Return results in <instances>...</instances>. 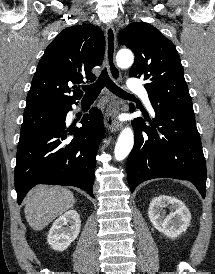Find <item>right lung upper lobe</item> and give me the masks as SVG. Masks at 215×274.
Segmentation results:
<instances>
[{
	"mask_svg": "<svg viewBox=\"0 0 215 274\" xmlns=\"http://www.w3.org/2000/svg\"><path fill=\"white\" fill-rule=\"evenodd\" d=\"M105 50L102 31L92 24L64 29L46 48L38 63L26 99V110L70 107L82 97L79 88L70 96V86L93 82L92 68L101 65Z\"/></svg>",
	"mask_w": 215,
	"mask_h": 274,
	"instance_id": "right-lung-upper-lobe-1",
	"label": "right lung upper lobe"
}]
</instances>
